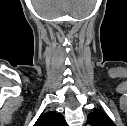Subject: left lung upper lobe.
I'll return each mask as SVG.
<instances>
[{"mask_svg": "<svg viewBox=\"0 0 127 126\" xmlns=\"http://www.w3.org/2000/svg\"><path fill=\"white\" fill-rule=\"evenodd\" d=\"M87 124H90L91 126H116L102 110H95L89 113Z\"/></svg>", "mask_w": 127, "mask_h": 126, "instance_id": "1", "label": "left lung upper lobe"}]
</instances>
